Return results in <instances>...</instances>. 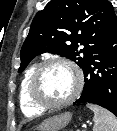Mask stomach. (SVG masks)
<instances>
[{"instance_id":"obj_1","label":"stomach","mask_w":117,"mask_h":131,"mask_svg":"<svg viewBox=\"0 0 117 131\" xmlns=\"http://www.w3.org/2000/svg\"><path fill=\"white\" fill-rule=\"evenodd\" d=\"M71 117L69 112L50 117L39 124L36 129L38 131H59L70 122Z\"/></svg>"}]
</instances>
